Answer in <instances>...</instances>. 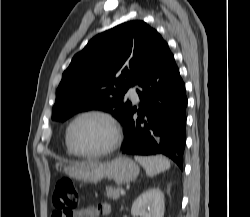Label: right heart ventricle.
I'll list each match as a JSON object with an SVG mask.
<instances>
[{"label":"right heart ventricle","instance_id":"right-heart-ventricle-1","mask_svg":"<svg viewBox=\"0 0 250 217\" xmlns=\"http://www.w3.org/2000/svg\"><path fill=\"white\" fill-rule=\"evenodd\" d=\"M65 144H66V151L68 154L70 155H74V153L71 151V149L69 148L68 144H67V141L65 140Z\"/></svg>","mask_w":250,"mask_h":217}]
</instances>
